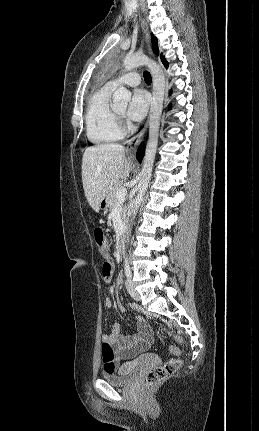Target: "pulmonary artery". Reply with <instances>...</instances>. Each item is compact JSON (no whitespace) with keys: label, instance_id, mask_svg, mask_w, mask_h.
Segmentation results:
<instances>
[{"label":"pulmonary artery","instance_id":"1","mask_svg":"<svg viewBox=\"0 0 259 431\" xmlns=\"http://www.w3.org/2000/svg\"><path fill=\"white\" fill-rule=\"evenodd\" d=\"M141 79H140V75L133 71V72H129L119 78H115L111 81H109L107 84L112 86V87H116L119 84H126L128 86L131 87H135L137 85H139Z\"/></svg>","mask_w":259,"mask_h":431}]
</instances>
